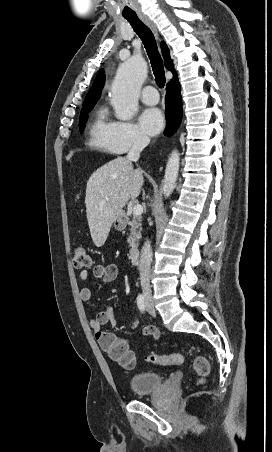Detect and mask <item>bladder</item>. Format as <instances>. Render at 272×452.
<instances>
[{"instance_id":"bladder-1","label":"bladder","mask_w":272,"mask_h":452,"mask_svg":"<svg viewBox=\"0 0 272 452\" xmlns=\"http://www.w3.org/2000/svg\"><path fill=\"white\" fill-rule=\"evenodd\" d=\"M163 383V377L159 373L146 371L133 374L128 381V386L134 395L144 396L160 389Z\"/></svg>"}]
</instances>
